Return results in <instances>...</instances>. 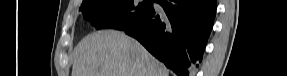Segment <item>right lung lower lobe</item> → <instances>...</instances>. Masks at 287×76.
I'll return each mask as SVG.
<instances>
[{"label": "right lung lower lobe", "instance_id": "obj_1", "mask_svg": "<svg viewBox=\"0 0 287 76\" xmlns=\"http://www.w3.org/2000/svg\"><path fill=\"white\" fill-rule=\"evenodd\" d=\"M164 10L123 31L136 38L177 76H194L213 27L216 0H154Z\"/></svg>", "mask_w": 287, "mask_h": 76}]
</instances>
